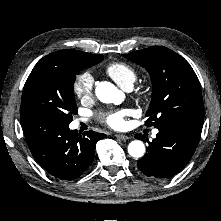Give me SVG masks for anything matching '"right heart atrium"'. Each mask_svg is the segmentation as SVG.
<instances>
[{
  "label": "right heart atrium",
  "mask_w": 221,
  "mask_h": 221,
  "mask_svg": "<svg viewBox=\"0 0 221 221\" xmlns=\"http://www.w3.org/2000/svg\"><path fill=\"white\" fill-rule=\"evenodd\" d=\"M94 79L89 72H82L73 82V92L82 101L90 99L93 93Z\"/></svg>",
  "instance_id": "right-heart-atrium-1"
}]
</instances>
